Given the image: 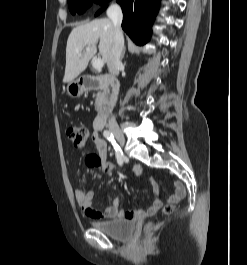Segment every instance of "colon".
<instances>
[{
  "instance_id": "colon-1",
  "label": "colon",
  "mask_w": 247,
  "mask_h": 265,
  "mask_svg": "<svg viewBox=\"0 0 247 265\" xmlns=\"http://www.w3.org/2000/svg\"><path fill=\"white\" fill-rule=\"evenodd\" d=\"M66 133L76 149H84L86 147L90 132L85 126L70 125L67 127ZM173 211L174 206L172 204H167L163 209L165 214H171Z\"/></svg>"
}]
</instances>
